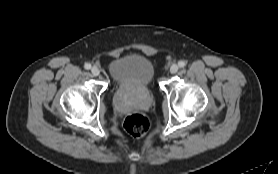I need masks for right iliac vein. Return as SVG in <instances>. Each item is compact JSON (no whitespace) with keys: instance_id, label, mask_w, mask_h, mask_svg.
Here are the masks:
<instances>
[{"instance_id":"right-iliac-vein-1","label":"right iliac vein","mask_w":278,"mask_h":174,"mask_svg":"<svg viewBox=\"0 0 278 174\" xmlns=\"http://www.w3.org/2000/svg\"><path fill=\"white\" fill-rule=\"evenodd\" d=\"M91 73H92L93 76H98L99 73H100V70L98 69V67L93 66V67L91 68Z\"/></svg>"}]
</instances>
